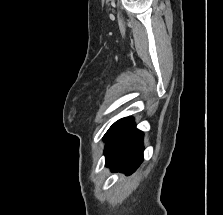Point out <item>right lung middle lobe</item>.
I'll return each mask as SVG.
<instances>
[{
	"instance_id": "obj_1",
	"label": "right lung middle lobe",
	"mask_w": 223,
	"mask_h": 215,
	"mask_svg": "<svg viewBox=\"0 0 223 215\" xmlns=\"http://www.w3.org/2000/svg\"><path fill=\"white\" fill-rule=\"evenodd\" d=\"M125 118L123 119H120L118 120L117 122H115L110 128L109 130L106 132V134L104 135V140H106L110 135L111 133L118 127V125L124 120Z\"/></svg>"
}]
</instances>
